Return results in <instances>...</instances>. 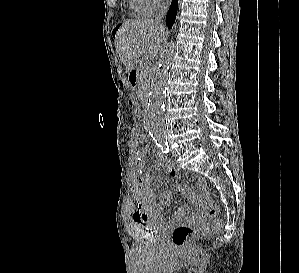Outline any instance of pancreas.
<instances>
[{
	"label": "pancreas",
	"mask_w": 299,
	"mask_h": 273,
	"mask_svg": "<svg viewBox=\"0 0 299 273\" xmlns=\"http://www.w3.org/2000/svg\"><path fill=\"white\" fill-rule=\"evenodd\" d=\"M140 81L138 84V92H145L149 85V81L152 75V69L147 63H141L140 65Z\"/></svg>",
	"instance_id": "pancreas-1"
}]
</instances>
